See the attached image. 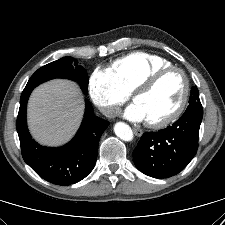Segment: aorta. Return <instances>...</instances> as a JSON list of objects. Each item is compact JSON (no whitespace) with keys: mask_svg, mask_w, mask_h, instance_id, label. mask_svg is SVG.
Returning a JSON list of instances; mask_svg holds the SVG:
<instances>
[{"mask_svg":"<svg viewBox=\"0 0 225 225\" xmlns=\"http://www.w3.org/2000/svg\"><path fill=\"white\" fill-rule=\"evenodd\" d=\"M114 132L123 141H131L133 139L131 127L123 122H117L115 124Z\"/></svg>","mask_w":225,"mask_h":225,"instance_id":"762f6f07","label":"aorta"}]
</instances>
